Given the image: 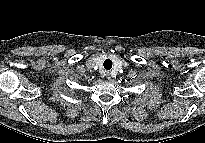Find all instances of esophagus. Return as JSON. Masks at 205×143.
<instances>
[{
    "instance_id": "esophagus-1",
    "label": "esophagus",
    "mask_w": 205,
    "mask_h": 143,
    "mask_svg": "<svg viewBox=\"0 0 205 143\" xmlns=\"http://www.w3.org/2000/svg\"><path fill=\"white\" fill-rule=\"evenodd\" d=\"M106 77H107L108 80H111L112 77H111L110 72H108V71L106 72Z\"/></svg>"
}]
</instances>
